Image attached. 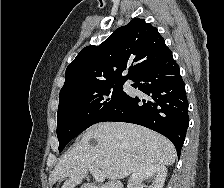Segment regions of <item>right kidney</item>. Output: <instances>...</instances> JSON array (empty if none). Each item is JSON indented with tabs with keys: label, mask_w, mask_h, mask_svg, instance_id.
Returning a JSON list of instances; mask_svg holds the SVG:
<instances>
[{
	"label": "right kidney",
	"mask_w": 224,
	"mask_h": 188,
	"mask_svg": "<svg viewBox=\"0 0 224 188\" xmlns=\"http://www.w3.org/2000/svg\"><path fill=\"white\" fill-rule=\"evenodd\" d=\"M167 176V168L162 164H152L134 172L127 188H143V179H151V185L147 188H163Z\"/></svg>",
	"instance_id": "right-kidney-1"
}]
</instances>
